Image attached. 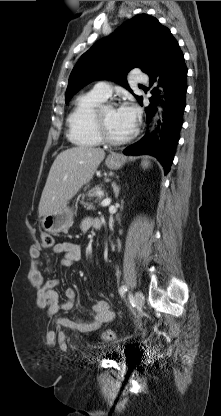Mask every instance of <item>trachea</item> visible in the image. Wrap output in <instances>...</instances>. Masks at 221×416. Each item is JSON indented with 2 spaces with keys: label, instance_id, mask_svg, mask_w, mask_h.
<instances>
[{
  "label": "trachea",
  "instance_id": "trachea-1",
  "mask_svg": "<svg viewBox=\"0 0 221 416\" xmlns=\"http://www.w3.org/2000/svg\"><path fill=\"white\" fill-rule=\"evenodd\" d=\"M141 86H143V85L139 84V87H141Z\"/></svg>",
  "mask_w": 221,
  "mask_h": 416
}]
</instances>
